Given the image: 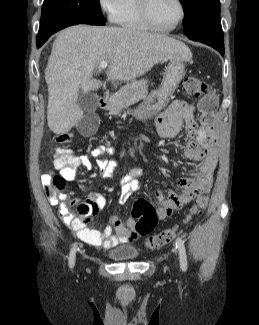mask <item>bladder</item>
<instances>
[{
    "instance_id": "obj_1",
    "label": "bladder",
    "mask_w": 259,
    "mask_h": 325,
    "mask_svg": "<svg viewBox=\"0 0 259 325\" xmlns=\"http://www.w3.org/2000/svg\"><path fill=\"white\" fill-rule=\"evenodd\" d=\"M139 251L132 245H121L112 248L108 252V257L114 261H126L137 258Z\"/></svg>"
}]
</instances>
